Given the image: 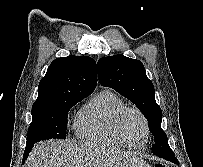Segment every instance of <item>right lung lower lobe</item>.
Returning a JSON list of instances; mask_svg holds the SVG:
<instances>
[{"label":"right lung lower lobe","instance_id":"right-lung-lower-lobe-1","mask_svg":"<svg viewBox=\"0 0 203 167\" xmlns=\"http://www.w3.org/2000/svg\"><path fill=\"white\" fill-rule=\"evenodd\" d=\"M34 143H35V141L27 142L25 152H24V157H23V163L27 159V157L29 156V153L32 150Z\"/></svg>","mask_w":203,"mask_h":167}]
</instances>
